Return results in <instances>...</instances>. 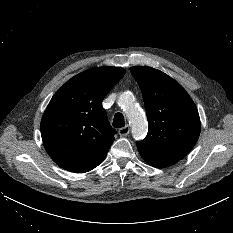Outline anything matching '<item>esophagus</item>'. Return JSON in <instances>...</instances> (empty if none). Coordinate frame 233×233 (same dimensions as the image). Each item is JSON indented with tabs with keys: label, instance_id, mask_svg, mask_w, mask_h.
<instances>
[{
	"label": "esophagus",
	"instance_id": "obj_1",
	"mask_svg": "<svg viewBox=\"0 0 233 233\" xmlns=\"http://www.w3.org/2000/svg\"><path fill=\"white\" fill-rule=\"evenodd\" d=\"M130 132V127L128 125L119 129L118 133L121 137L127 136Z\"/></svg>",
	"mask_w": 233,
	"mask_h": 233
}]
</instances>
